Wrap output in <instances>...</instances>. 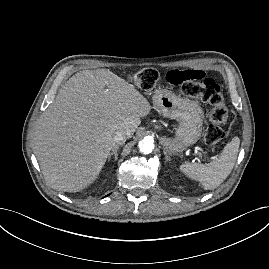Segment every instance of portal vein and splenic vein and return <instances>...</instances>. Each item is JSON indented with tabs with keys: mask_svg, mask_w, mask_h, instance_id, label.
I'll list each match as a JSON object with an SVG mask.
<instances>
[{
	"mask_svg": "<svg viewBox=\"0 0 269 269\" xmlns=\"http://www.w3.org/2000/svg\"><path fill=\"white\" fill-rule=\"evenodd\" d=\"M195 154L199 156V158L196 157V160H197L198 162H201V161L203 160L201 154H200V153H195Z\"/></svg>",
	"mask_w": 269,
	"mask_h": 269,
	"instance_id": "1",
	"label": "portal vein and splenic vein"
}]
</instances>
